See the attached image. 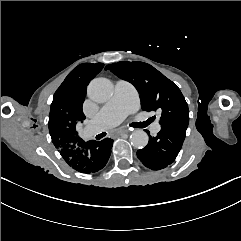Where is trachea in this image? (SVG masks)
Here are the masks:
<instances>
[{"instance_id": "3493384b", "label": "trachea", "mask_w": 241, "mask_h": 241, "mask_svg": "<svg viewBox=\"0 0 241 241\" xmlns=\"http://www.w3.org/2000/svg\"><path fill=\"white\" fill-rule=\"evenodd\" d=\"M105 135H106V133L99 134V135L96 136V139L99 140L102 137H104Z\"/></svg>"}]
</instances>
